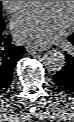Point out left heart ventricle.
Segmentation results:
<instances>
[{"label":"left heart ventricle","mask_w":74,"mask_h":122,"mask_svg":"<svg viewBox=\"0 0 74 122\" xmlns=\"http://www.w3.org/2000/svg\"><path fill=\"white\" fill-rule=\"evenodd\" d=\"M45 5L57 6L67 19H71V1H45Z\"/></svg>","instance_id":"obj_1"}]
</instances>
